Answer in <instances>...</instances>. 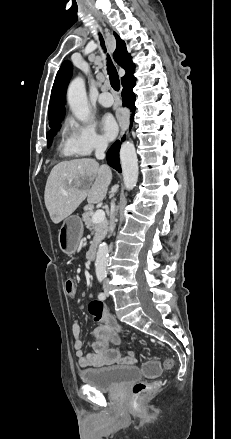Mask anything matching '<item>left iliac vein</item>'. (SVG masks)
Here are the masks:
<instances>
[{
	"label": "left iliac vein",
	"instance_id": "4c4485c4",
	"mask_svg": "<svg viewBox=\"0 0 231 439\" xmlns=\"http://www.w3.org/2000/svg\"><path fill=\"white\" fill-rule=\"evenodd\" d=\"M105 294H106V296H109V289H108V286H106V288H105Z\"/></svg>",
	"mask_w": 231,
	"mask_h": 439
}]
</instances>
